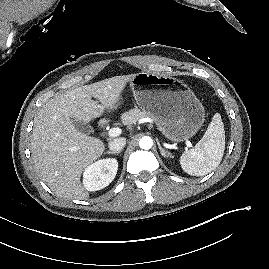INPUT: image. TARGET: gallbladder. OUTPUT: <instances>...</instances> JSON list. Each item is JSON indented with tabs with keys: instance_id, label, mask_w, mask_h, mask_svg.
<instances>
[{
	"instance_id": "obj_1",
	"label": "gallbladder",
	"mask_w": 269,
	"mask_h": 269,
	"mask_svg": "<svg viewBox=\"0 0 269 269\" xmlns=\"http://www.w3.org/2000/svg\"><path fill=\"white\" fill-rule=\"evenodd\" d=\"M71 121H72L73 125L75 126V128L78 129L79 131H81L85 134L92 133L93 129L89 124H87L83 121L75 120V119H72Z\"/></svg>"
}]
</instances>
